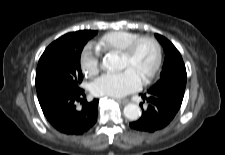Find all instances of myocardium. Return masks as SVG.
Instances as JSON below:
<instances>
[{
	"label": "myocardium",
	"mask_w": 225,
	"mask_h": 155,
	"mask_svg": "<svg viewBox=\"0 0 225 155\" xmlns=\"http://www.w3.org/2000/svg\"><path fill=\"white\" fill-rule=\"evenodd\" d=\"M142 42H149L155 52V60L152 69L149 71V73L143 78L144 82H149L151 79H153L156 74L158 73L161 63H162V48L160 43L152 36L143 35L138 36L134 40H132L121 52L120 54L125 57H132L138 48V46Z\"/></svg>",
	"instance_id": "f54148a6"
}]
</instances>
